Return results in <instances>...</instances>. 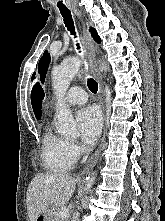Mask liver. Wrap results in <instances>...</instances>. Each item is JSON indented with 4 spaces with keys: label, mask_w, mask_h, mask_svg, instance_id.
<instances>
[{
    "label": "liver",
    "mask_w": 165,
    "mask_h": 221,
    "mask_svg": "<svg viewBox=\"0 0 165 221\" xmlns=\"http://www.w3.org/2000/svg\"><path fill=\"white\" fill-rule=\"evenodd\" d=\"M76 180L64 173H40L30 182L27 194V211L30 221L49 206H64L72 197Z\"/></svg>",
    "instance_id": "liver-1"
}]
</instances>
